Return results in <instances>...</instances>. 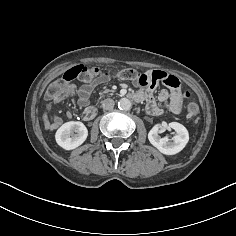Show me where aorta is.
I'll return each mask as SVG.
<instances>
[{"mask_svg": "<svg viewBox=\"0 0 236 236\" xmlns=\"http://www.w3.org/2000/svg\"><path fill=\"white\" fill-rule=\"evenodd\" d=\"M131 106H132V103L128 98H121L118 102V107L121 110H125V111L130 110Z\"/></svg>", "mask_w": 236, "mask_h": 236, "instance_id": "aorta-1", "label": "aorta"}]
</instances>
